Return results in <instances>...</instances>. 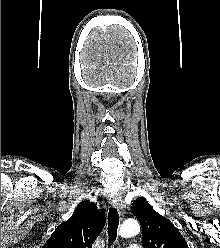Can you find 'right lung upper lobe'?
Listing matches in <instances>:
<instances>
[{"instance_id":"1","label":"right lung upper lobe","mask_w":220,"mask_h":248,"mask_svg":"<svg viewBox=\"0 0 220 248\" xmlns=\"http://www.w3.org/2000/svg\"><path fill=\"white\" fill-rule=\"evenodd\" d=\"M105 225V213L89 200L78 204L72 216L60 224L42 248H92Z\"/></svg>"}]
</instances>
